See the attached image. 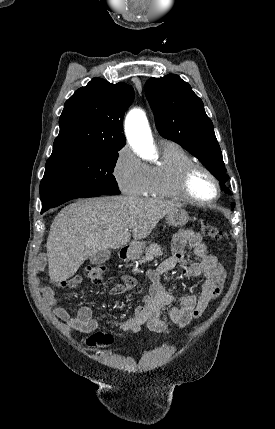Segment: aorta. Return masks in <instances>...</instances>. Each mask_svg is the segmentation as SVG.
<instances>
[{
    "label": "aorta",
    "instance_id": "1",
    "mask_svg": "<svg viewBox=\"0 0 275 429\" xmlns=\"http://www.w3.org/2000/svg\"><path fill=\"white\" fill-rule=\"evenodd\" d=\"M127 139L134 151L141 157L153 159L156 149L145 113L142 110H132L126 118Z\"/></svg>",
    "mask_w": 275,
    "mask_h": 429
}]
</instances>
